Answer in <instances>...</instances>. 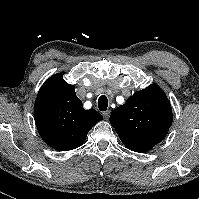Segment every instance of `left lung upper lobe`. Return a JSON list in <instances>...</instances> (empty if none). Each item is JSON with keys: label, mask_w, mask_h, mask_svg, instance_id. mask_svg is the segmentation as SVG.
<instances>
[{"label": "left lung upper lobe", "mask_w": 199, "mask_h": 199, "mask_svg": "<svg viewBox=\"0 0 199 199\" xmlns=\"http://www.w3.org/2000/svg\"><path fill=\"white\" fill-rule=\"evenodd\" d=\"M172 109L164 91L156 84L137 91L110 115L118 135L158 144L172 124Z\"/></svg>", "instance_id": "obj_1"}]
</instances>
